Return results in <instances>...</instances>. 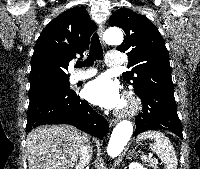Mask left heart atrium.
Masks as SVG:
<instances>
[{
  "label": "left heart atrium",
  "instance_id": "obj_1",
  "mask_svg": "<svg viewBox=\"0 0 200 169\" xmlns=\"http://www.w3.org/2000/svg\"><path fill=\"white\" fill-rule=\"evenodd\" d=\"M85 98L105 109H120L123 97L119 84L107 76H100L90 82L84 91Z\"/></svg>",
  "mask_w": 200,
  "mask_h": 169
}]
</instances>
